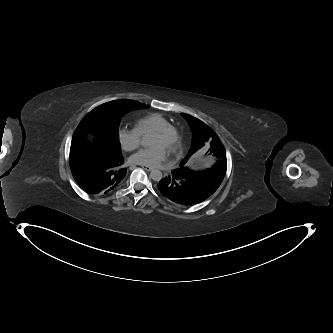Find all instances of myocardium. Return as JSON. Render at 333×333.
I'll use <instances>...</instances> for the list:
<instances>
[{
    "label": "myocardium",
    "instance_id": "1",
    "mask_svg": "<svg viewBox=\"0 0 333 333\" xmlns=\"http://www.w3.org/2000/svg\"><path fill=\"white\" fill-rule=\"evenodd\" d=\"M154 133L165 137V139L167 141V151L168 152H172L173 150H175L177 148V146L179 144V134L175 127H173V126L163 127V128H160V129L154 131Z\"/></svg>",
    "mask_w": 333,
    "mask_h": 333
}]
</instances>
